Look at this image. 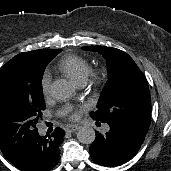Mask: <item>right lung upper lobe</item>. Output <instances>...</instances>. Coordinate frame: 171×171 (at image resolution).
<instances>
[{"mask_svg":"<svg viewBox=\"0 0 171 171\" xmlns=\"http://www.w3.org/2000/svg\"><path fill=\"white\" fill-rule=\"evenodd\" d=\"M54 49H49V50H36L34 52H39V53H48V52H51L53 51ZM31 52V51H30Z\"/></svg>","mask_w":171,"mask_h":171,"instance_id":"cb5924a9","label":"right lung upper lobe"}]
</instances>
